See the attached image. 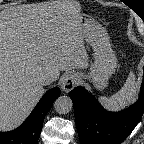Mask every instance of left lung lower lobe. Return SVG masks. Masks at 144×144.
I'll return each mask as SVG.
<instances>
[{
	"label": "left lung lower lobe",
	"mask_w": 144,
	"mask_h": 144,
	"mask_svg": "<svg viewBox=\"0 0 144 144\" xmlns=\"http://www.w3.org/2000/svg\"><path fill=\"white\" fill-rule=\"evenodd\" d=\"M81 144H119L141 120L144 112V77L138 101L120 112H108L84 88L69 93Z\"/></svg>",
	"instance_id": "0a47b994"
}]
</instances>
